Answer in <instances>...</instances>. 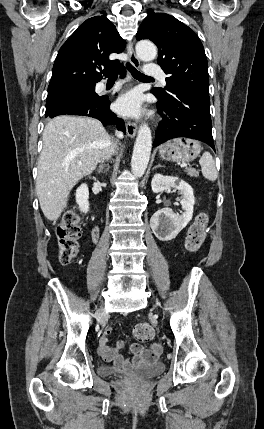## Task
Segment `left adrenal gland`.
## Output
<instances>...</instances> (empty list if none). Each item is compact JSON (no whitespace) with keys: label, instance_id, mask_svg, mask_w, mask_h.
Masks as SVG:
<instances>
[{"label":"left adrenal gland","instance_id":"left-adrenal-gland-1","mask_svg":"<svg viewBox=\"0 0 264 429\" xmlns=\"http://www.w3.org/2000/svg\"><path fill=\"white\" fill-rule=\"evenodd\" d=\"M159 167H163V166L158 164L157 166L154 167V169L159 168Z\"/></svg>","mask_w":264,"mask_h":429}]
</instances>
